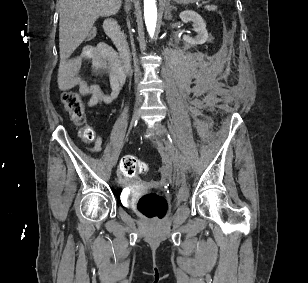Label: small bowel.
<instances>
[{
  "label": "small bowel",
  "instance_id": "c3829d8e",
  "mask_svg": "<svg viewBox=\"0 0 308 283\" xmlns=\"http://www.w3.org/2000/svg\"><path fill=\"white\" fill-rule=\"evenodd\" d=\"M84 60L91 61L92 68L96 73L105 71L108 74L110 92L105 93L98 85L89 84L80 77V69ZM62 72L69 79L71 85L78 88L81 95L88 97L90 106L108 105L115 101L120 95L126 78L117 53L104 42L95 46H85L79 56L63 63ZM92 140L93 147L91 150L94 152L101 151V137L95 135Z\"/></svg>",
  "mask_w": 308,
  "mask_h": 283
}]
</instances>
